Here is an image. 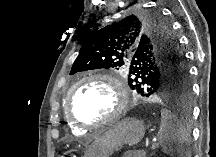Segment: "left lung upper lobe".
Returning a JSON list of instances; mask_svg holds the SVG:
<instances>
[{
  "label": "left lung upper lobe",
  "instance_id": "5c2ea615",
  "mask_svg": "<svg viewBox=\"0 0 216 157\" xmlns=\"http://www.w3.org/2000/svg\"><path fill=\"white\" fill-rule=\"evenodd\" d=\"M70 74L100 68L128 69V84L141 96L178 95L189 100V70L161 10H136L119 22L86 33Z\"/></svg>",
  "mask_w": 216,
  "mask_h": 157
}]
</instances>
